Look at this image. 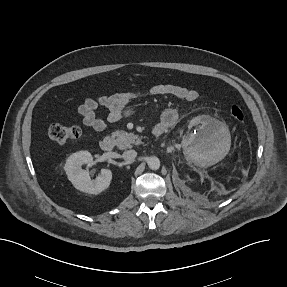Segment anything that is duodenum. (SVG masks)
I'll return each mask as SVG.
<instances>
[{
    "instance_id": "obj_1",
    "label": "duodenum",
    "mask_w": 287,
    "mask_h": 287,
    "mask_svg": "<svg viewBox=\"0 0 287 287\" xmlns=\"http://www.w3.org/2000/svg\"><path fill=\"white\" fill-rule=\"evenodd\" d=\"M164 133V129L161 125L155 127L153 129V135L154 136H160ZM114 140L111 137H105L100 142V148L104 152H111L114 149Z\"/></svg>"
}]
</instances>
